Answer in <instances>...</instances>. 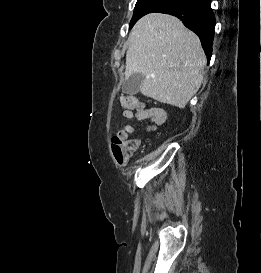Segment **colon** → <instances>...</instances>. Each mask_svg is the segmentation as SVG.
<instances>
[{"label":"colon","instance_id":"colon-1","mask_svg":"<svg viewBox=\"0 0 261 273\" xmlns=\"http://www.w3.org/2000/svg\"><path fill=\"white\" fill-rule=\"evenodd\" d=\"M123 107L132 109L136 113H142L143 106L133 95H125L121 99ZM112 154L118 165H124L130 154L138 147L137 140H126V134L119 132L115 134L111 141Z\"/></svg>","mask_w":261,"mask_h":273}]
</instances>
